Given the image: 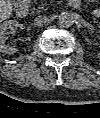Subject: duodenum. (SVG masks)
I'll list each match as a JSON object with an SVG mask.
<instances>
[{"label":"duodenum","instance_id":"410a0bca","mask_svg":"<svg viewBox=\"0 0 100 118\" xmlns=\"http://www.w3.org/2000/svg\"><path fill=\"white\" fill-rule=\"evenodd\" d=\"M80 0H68L69 5L72 8H78L80 5ZM28 10V3L26 2V0H22L21 2L18 3L17 5V13L20 16H24L27 13Z\"/></svg>","mask_w":100,"mask_h":118}]
</instances>
